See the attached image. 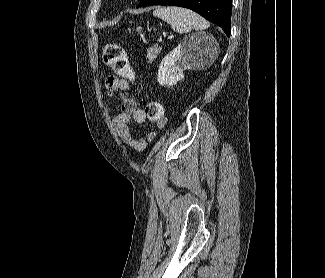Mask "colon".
Wrapping results in <instances>:
<instances>
[{
    "mask_svg": "<svg viewBox=\"0 0 325 278\" xmlns=\"http://www.w3.org/2000/svg\"><path fill=\"white\" fill-rule=\"evenodd\" d=\"M102 60L118 77L134 79V71L129 63L127 53L120 45H106ZM145 116L151 122L162 124L165 118L164 107L159 102H150L145 108Z\"/></svg>",
    "mask_w": 325,
    "mask_h": 278,
    "instance_id": "1",
    "label": "colon"
}]
</instances>
